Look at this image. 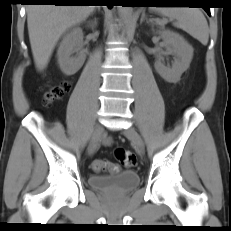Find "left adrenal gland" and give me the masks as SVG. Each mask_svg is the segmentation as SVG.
<instances>
[{
	"instance_id": "left-adrenal-gland-1",
	"label": "left adrenal gland",
	"mask_w": 231,
	"mask_h": 231,
	"mask_svg": "<svg viewBox=\"0 0 231 231\" xmlns=\"http://www.w3.org/2000/svg\"><path fill=\"white\" fill-rule=\"evenodd\" d=\"M145 20H146L147 23H149L151 21L150 19L147 18V16L145 15V12H143L142 16H141V19H140V24H142L143 21H145Z\"/></svg>"
}]
</instances>
